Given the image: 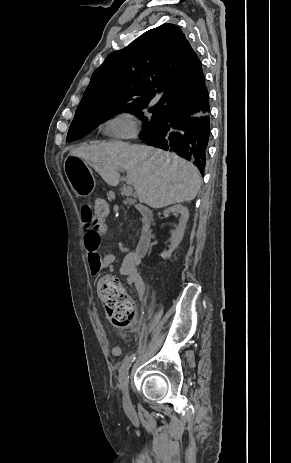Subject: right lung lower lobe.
Here are the masks:
<instances>
[{"label": "right lung lower lobe", "instance_id": "obj_1", "mask_svg": "<svg viewBox=\"0 0 291 463\" xmlns=\"http://www.w3.org/2000/svg\"><path fill=\"white\" fill-rule=\"evenodd\" d=\"M205 85V79L202 83ZM211 118L208 91L200 104L189 109L172 108L164 112L162 122L140 135L148 145L191 161L203 175L208 142L211 134Z\"/></svg>", "mask_w": 291, "mask_h": 463}]
</instances>
